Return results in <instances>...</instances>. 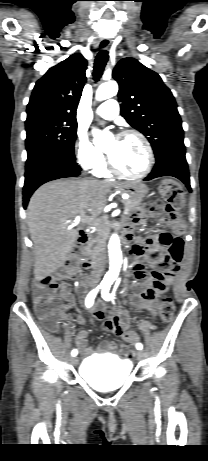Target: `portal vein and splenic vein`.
I'll return each mask as SVG.
<instances>
[{
	"instance_id": "18ae733b",
	"label": "portal vein and splenic vein",
	"mask_w": 208,
	"mask_h": 461,
	"mask_svg": "<svg viewBox=\"0 0 208 461\" xmlns=\"http://www.w3.org/2000/svg\"><path fill=\"white\" fill-rule=\"evenodd\" d=\"M124 213L127 214L128 210L124 209ZM77 221H79V220H75V223H73V225H75ZM82 221L84 223H86V224H89V225H97L98 224V220L94 219L93 217H85V218L82 219Z\"/></svg>"
}]
</instances>
